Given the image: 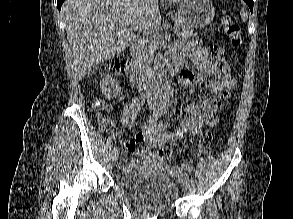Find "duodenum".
<instances>
[{
  "instance_id": "1",
  "label": "duodenum",
  "mask_w": 293,
  "mask_h": 219,
  "mask_svg": "<svg viewBox=\"0 0 293 219\" xmlns=\"http://www.w3.org/2000/svg\"><path fill=\"white\" fill-rule=\"evenodd\" d=\"M143 40L138 38L132 46V59L130 83L134 88L141 89L144 86V63L142 60ZM179 63L176 60H171L168 63V71L170 74H176L179 70Z\"/></svg>"
}]
</instances>
